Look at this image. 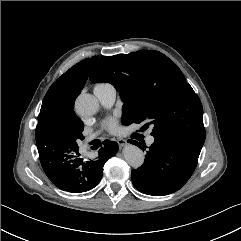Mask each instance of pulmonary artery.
Returning a JSON list of instances; mask_svg holds the SVG:
<instances>
[{"mask_svg": "<svg viewBox=\"0 0 241 241\" xmlns=\"http://www.w3.org/2000/svg\"><path fill=\"white\" fill-rule=\"evenodd\" d=\"M94 94L101 103V105L105 108H111L116 99V90L110 84H99L94 87ZM95 137V134L91 136ZM154 137L148 136L147 143L149 145L153 144Z\"/></svg>", "mask_w": 241, "mask_h": 241, "instance_id": "pulmonary-artery-1", "label": "pulmonary artery"}]
</instances>
